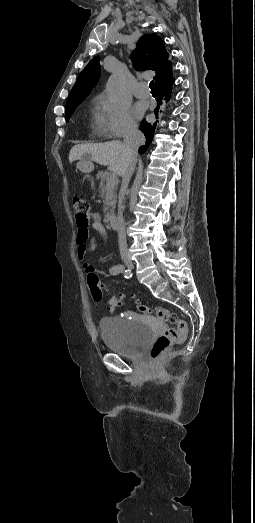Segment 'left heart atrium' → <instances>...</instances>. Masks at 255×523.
<instances>
[{"instance_id":"1","label":"left heart atrium","mask_w":255,"mask_h":523,"mask_svg":"<svg viewBox=\"0 0 255 523\" xmlns=\"http://www.w3.org/2000/svg\"><path fill=\"white\" fill-rule=\"evenodd\" d=\"M144 111V105L142 103H137L135 106V113L137 116H141Z\"/></svg>"}]
</instances>
